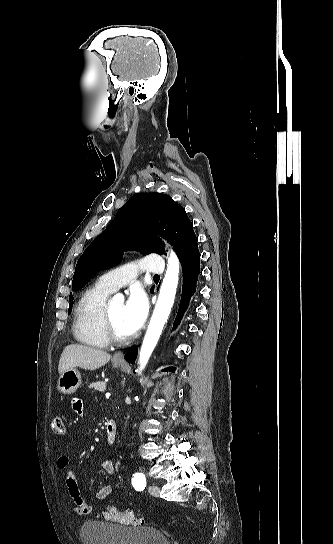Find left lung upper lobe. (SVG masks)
<instances>
[{
    "label": "left lung upper lobe",
    "mask_w": 333,
    "mask_h": 544,
    "mask_svg": "<svg viewBox=\"0 0 333 544\" xmlns=\"http://www.w3.org/2000/svg\"><path fill=\"white\" fill-rule=\"evenodd\" d=\"M158 234L168 239L180 261L198 247L193 224L181 205L156 192L134 195L78 260L72 289L79 290L97 272L116 265L124 250L133 248L144 255L164 254ZM69 300L70 310L72 295Z\"/></svg>",
    "instance_id": "obj_1"
}]
</instances>
